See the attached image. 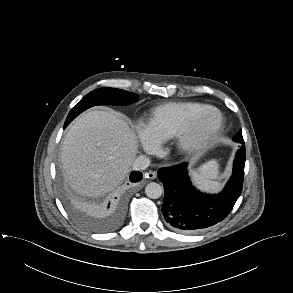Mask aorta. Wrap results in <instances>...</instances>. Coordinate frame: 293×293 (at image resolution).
I'll use <instances>...</instances> for the list:
<instances>
[{
    "mask_svg": "<svg viewBox=\"0 0 293 293\" xmlns=\"http://www.w3.org/2000/svg\"><path fill=\"white\" fill-rule=\"evenodd\" d=\"M163 193V188L156 182H151L145 187V194L151 199L159 198Z\"/></svg>",
    "mask_w": 293,
    "mask_h": 293,
    "instance_id": "762f6f07",
    "label": "aorta"
}]
</instances>
